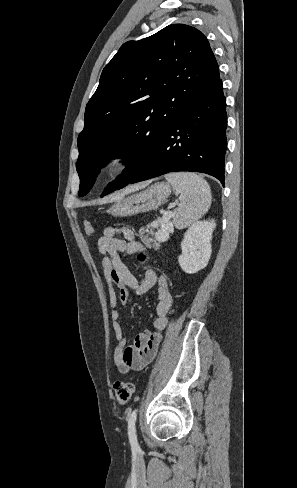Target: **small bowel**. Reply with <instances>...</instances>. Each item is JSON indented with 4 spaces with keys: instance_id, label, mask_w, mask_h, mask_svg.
<instances>
[{
    "instance_id": "small-bowel-1",
    "label": "small bowel",
    "mask_w": 297,
    "mask_h": 488,
    "mask_svg": "<svg viewBox=\"0 0 297 488\" xmlns=\"http://www.w3.org/2000/svg\"><path fill=\"white\" fill-rule=\"evenodd\" d=\"M97 250L102 256L101 269L106 279L110 301V317L115 334L116 346L114 362L122 374L138 371L147 366L155 357L170 315L174 311L171 283L166 272L158 275L150 266L142 280L135 278L121 260V254H145L147 248L135 239V233L128 226L107 227L97 241ZM158 286V303L152 329L139 334L132 345L126 346L120 318L119 304L127 305L131 300V290L137 294L148 292Z\"/></svg>"
}]
</instances>
